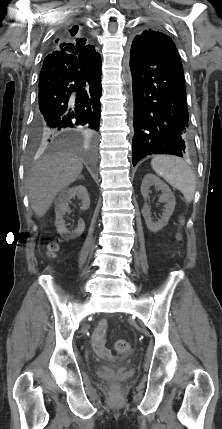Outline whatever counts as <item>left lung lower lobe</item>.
Segmentation results:
<instances>
[{
  "label": "left lung lower lobe",
  "instance_id": "left-lung-lower-lobe-1",
  "mask_svg": "<svg viewBox=\"0 0 222 429\" xmlns=\"http://www.w3.org/2000/svg\"><path fill=\"white\" fill-rule=\"evenodd\" d=\"M133 166L151 154L182 157L190 148V125L182 63L167 35L132 43Z\"/></svg>",
  "mask_w": 222,
  "mask_h": 429
}]
</instances>
